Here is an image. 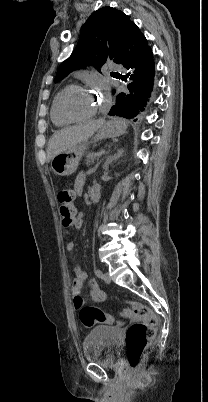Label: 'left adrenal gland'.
Returning a JSON list of instances; mask_svg holds the SVG:
<instances>
[{
	"instance_id": "a2214340",
	"label": "left adrenal gland",
	"mask_w": 208,
	"mask_h": 402,
	"mask_svg": "<svg viewBox=\"0 0 208 402\" xmlns=\"http://www.w3.org/2000/svg\"><path fill=\"white\" fill-rule=\"evenodd\" d=\"M124 150H118L117 154H113V156H108L103 168L104 170H108L109 164H112V162H116L120 156H122Z\"/></svg>"
}]
</instances>
